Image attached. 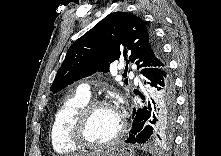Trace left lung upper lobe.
<instances>
[{
  "label": "left lung upper lobe",
  "mask_w": 221,
  "mask_h": 156,
  "mask_svg": "<svg viewBox=\"0 0 221 156\" xmlns=\"http://www.w3.org/2000/svg\"><path fill=\"white\" fill-rule=\"evenodd\" d=\"M119 58L134 62L141 72L167 63L153 32L140 17L114 12L71 45L51 90L56 93L96 71L108 72L110 63Z\"/></svg>",
  "instance_id": "1"
}]
</instances>
